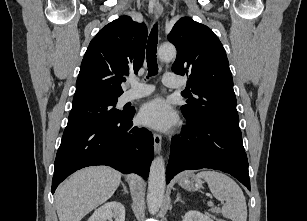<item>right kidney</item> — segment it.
I'll list each match as a JSON object with an SVG mask.
<instances>
[{"mask_svg":"<svg viewBox=\"0 0 307 221\" xmlns=\"http://www.w3.org/2000/svg\"><path fill=\"white\" fill-rule=\"evenodd\" d=\"M125 221V207L117 201L107 202L94 211L88 221Z\"/></svg>","mask_w":307,"mask_h":221,"instance_id":"ca27d5eb","label":"right kidney"}]
</instances>
